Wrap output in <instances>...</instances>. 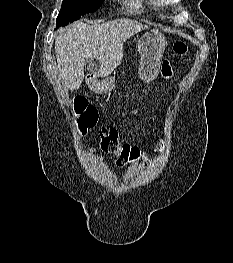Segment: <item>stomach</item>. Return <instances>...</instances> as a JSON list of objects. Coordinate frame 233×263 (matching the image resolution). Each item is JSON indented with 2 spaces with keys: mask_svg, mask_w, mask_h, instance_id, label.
<instances>
[{
  "mask_svg": "<svg viewBox=\"0 0 233 263\" xmlns=\"http://www.w3.org/2000/svg\"><path fill=\"white\" fill-rule=\"evenodd\" d=\"M166 46V38L158 30L146 32L139 39L138 51L141 55V61L138 74L142 81L150 82L157 77ZM89 86L96 93H104L118 90V88H131L135 85L131 83H119V81H115V77H106V80L90 81Z\"/></svg>",
  "mask_w": 233,
  "mask_h": 263,
  "instance_id": "1",
  "label": "stomach"
}]
</instances>
